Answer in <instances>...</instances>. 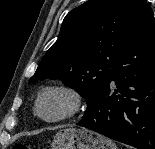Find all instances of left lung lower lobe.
I'll list each match as a JSON object with an SVG mask.
<instances>
[{"label": "left lung lower lobe", "mask_w": 155, "mask_h": 149, "mask_svg": "<svg viewBox=\"0 0 155 149\" xmlns=\"http://www.w3.org/2000/svg\"><path fill=\"white\" fill-rule=\"evenodd\" d=\"M117 89L110 93V82ZM119 93V94H117ZM77 125L138 149H155V23L153 13L118 53L107 82Z\"/></svg>", "instance_id": "left-lung-lower-lobe-1"}]
</instances>
